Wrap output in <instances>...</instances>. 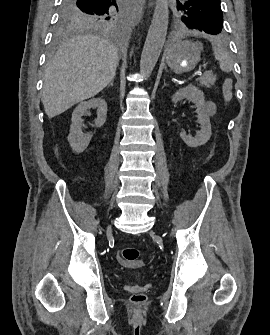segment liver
<instances>
[{
	"label": "liver",
	"instance_id": "1",
	"mask_svg": "<svg viewBox=\"0 0 270 335\" xmlns=\"http://www.w3.org/2000/svg\"><path fill=\"white\" fill-rule=\"evenodd\" d=\"M117 48L102 36H74L60 46L45 70L42 104L48 118L99 94L113 80Z\"/></svg>",
	"mask_w": 270,
	"mask_h": 335
}]
</instances>
